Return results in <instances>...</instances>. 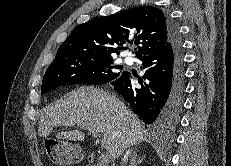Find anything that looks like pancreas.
Listing matches in <instances>:
<instances>
[{
  "label": "pancreas",
  "mask_w": 231,
  "mask_h": 166,
  "mask_svg": "<svg viewBox=\"0 0 231 166\" xmlns=\"http://www.w3.org/2000/svg\"><path fill=\"white\" fill-rule=\"evenodd\" d=\"M93 166H108V165L105 164V163H103V162L101 161V159H98V160H97V163H96L95 165H93Z\"/></svg>",
  "instance_id": "1"
}]
</instances>
